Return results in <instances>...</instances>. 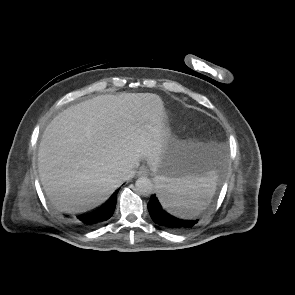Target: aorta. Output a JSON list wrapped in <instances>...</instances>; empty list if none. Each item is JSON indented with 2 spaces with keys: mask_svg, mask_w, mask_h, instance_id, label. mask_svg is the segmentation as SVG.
<instances>
[{
  "mask_svg": "<svg viewBox=\"0 0 295 295\" xmlns=\"http://www.w3.org/2000/svg\"><path fill=\"white\" fill-rule=\"evenodd\" d=\"M135 187L139 193L146 196L152 194L154 191V185L152 181L145 176L139 177L137 179Z\"/></svg>",
  "mask_w": 295,
  "mask_h": 295,
  "instance_id": "762f6f07",
  "label": "aorta"
}]
</instances>
